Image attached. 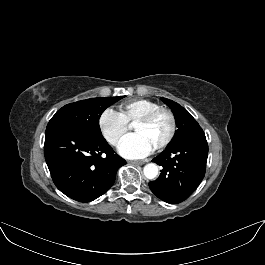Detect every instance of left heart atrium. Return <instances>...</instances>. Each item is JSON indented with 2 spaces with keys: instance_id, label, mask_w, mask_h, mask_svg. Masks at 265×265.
Returning a JSON list of instances; mask_svg holds the SVG:
<instances>
[{
  "instance_id": "39dd6f15",
  "label": "left heart atrium",
  "mask_w": 265,
  "mask_h": 265,
  "mask_svg": "<svg viewBox=\"0 0 265 265\" xmlns=\"http://www.w3.org/2000/svg\"><path fill=\"white\" fill-rule=\"evenodd\" d=\"M118 151L125 158L137 159L149 155L153 148L143 136L135 133L123 139Z\"/></svg>"
}]
</instances>
